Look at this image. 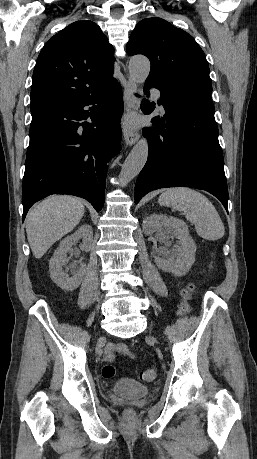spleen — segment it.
<instances>
[{"label":"spleen","instance_id":"obj_1","mask_svg":"<svg viewBox=\"0 0 257 459\" xmlns=\"http://www.w3.org/2000/svg\"><path fill=\"white\" fill-rule=\"evenodd\" d=\"M159 203L183 212L200 237L215 241L224 236L225 228L216 208L200 192L185 187L169 188L160 195Z\"/></svg>","mask_w":257,"mask_h":459}]
</instances>
